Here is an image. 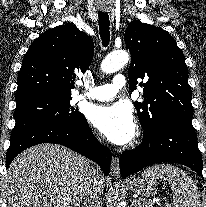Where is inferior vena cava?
<instances>
[{
  "label": "inferior vena cava",
  "mask_w": 206,
  "mask_h": 207,
  "mask_svg": "<svg viewBox=\"0 0 206 207\" xmlns=\"http://www.w3.org/2000/svg\"><path fill=\"white\" fill-rule=\"evenodd\" d=\"M101 177L100 169L96 164H90V181L86 190V195H88V207H101L100 206V183L99 179Z\"/></svg>",
  "instance_id": "obj_1"
}]
</instances>
